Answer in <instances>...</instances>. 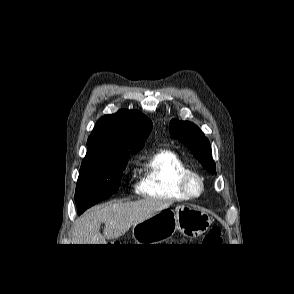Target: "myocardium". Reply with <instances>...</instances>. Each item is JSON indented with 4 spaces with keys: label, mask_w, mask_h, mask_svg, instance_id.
Wrapping results in <instances>:
<instances>
[{
    "label": "myocardium",
    "mask_w": 294,
    "mask_h": 294,
    "mask_svg": "<svg viewBox=\"0 0 294 294\" xmlns=\"http://www.w3.org/2000/svg\"><path fill=\"white\" fill-rule=\"evenodd\" d=\"M197 179L199 182V190L194 192L191 189V180ZM179 188L187 198H197L199 197L205 189L204 178L196 171L187 169L182 172L179 176Z\"/></svg>",
    "instance_id": "1"
}]
</instances>
